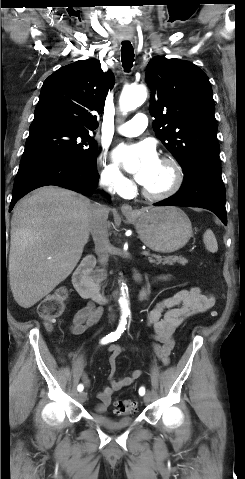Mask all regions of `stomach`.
Listing matches in <instances>:
<instances>
[{
    "label": "stomach",
    "mask_w": 245,
    "mask_h": 479,
    "mask_svg": "<svg viewBox=\"0 0 245 479\" xmlns=\"http://www.w3.org/2000/svg\"><path fill=\"white\" fill-rule=\"evenodd\" d=\"M127 218L135 225L141 241L156 252L179 250L193 233L188 216L176 207H146Z\"/></svg>",
    "instance_id": "stomach-1"
}]
</instances>
